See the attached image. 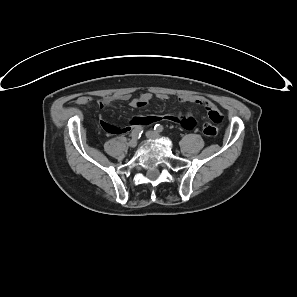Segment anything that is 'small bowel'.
Returning a JSON list of instances; mask_svg holds the SVG:
<instances>
[{
	"instance_id": "c3829d8e",
	"label": "small bowel",
	"mask_w": 297,
	"mask_h": 297,
	"mask_svg": "<svg viewBox=\"0 0 297 297\" xmlns=\"http://www.w3.org/2000/svg\"><path fill=\"white\" fill-rule=\"evenodd\" d=\"M164 98L165 97H163V96L161 97V99H164ZM123 99H125V98H123ZM149 99H150V96L148 94H143L139 98L133 100L131 102V106L139 107V108L144 107L147 105ZM182 99L184 101H189L192 103H196V104L205 106L206 110L209 113V116H211L213 114H219L215 105L204 98L197 97V96H183ZM85 101L86 100L84 98L79 99L80 103H83ZM112 101H113L112 98H103L101 100V105L102 104L108 105ZM160 119H164V120L172 121V122H180L182 124V126L186 129H191L195 125L194 120L190 117L183 118V117H177V116H173V115H164L162 117H146L143 119L135 117L132 119L131 124L132 125L150 124V123L156 122ZM101 125L107 132H110V133L115 132V129L112 126L105 124L103 121H101Z\"/></svg>"
}]
</instances>
